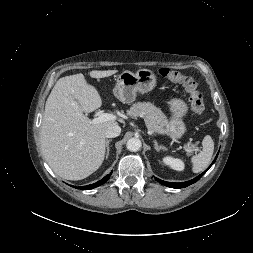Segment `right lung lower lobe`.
I'll return each mask as SVG.
<instances>
[{"instance_id":"1","label":"right lung lower lobe","mask_w":253,"mask_h":253,"mask_svg":"<svg viewBox=\"0 0 253 253\" xmlns=\"http://www.w3.org/2000/svg\"><path fill=\"white\" fill-rule=\"evenodd\" d=\"M110 175H111V173L109 175H106L102 180H100V181H98V182H96L94 184H91V185L82 186V187H80V189H82V190H89V189L98 187V186L104 184L110 178Z\"/></svg>"}]
</instances>
